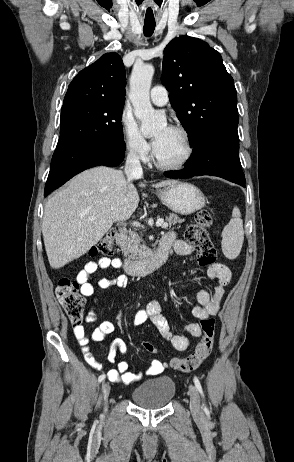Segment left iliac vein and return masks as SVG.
<instances>
[{
  "instance_id": "4c4485c4",
  "label": "left iliac vein",
  "mask_w": 294,
  "mask_h": 462,
  "mask_svg": "<svg viewBox=\"0 0 294 462\" xmlns=\"http://www.w3.org/2000/svg\"><path fill=\"white\" fill-rule=\"evenodd\" d=\"M190 409L193 414L199 415L202 412L199 393L194 385L189 386Z\"/></svg>"
}]
</instances>
